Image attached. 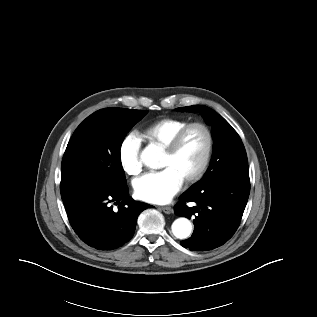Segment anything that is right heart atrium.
<instances>
[{"label":"right heart atrium","instance_id":"d8ad5b80","mask_svg":"<svg viewBox=\"0 0 317 317\" xmlns=\"http://www.w3.org/2000/svg\"><path fill=\"white\" fill-rule=\"evenodd\" d=\"M118 160L122 170L131 176L142 171L141 143L134 134L127 135L120 143Z\"/></svg>","mask_w":317,"mask_h":317}]
</instances>
